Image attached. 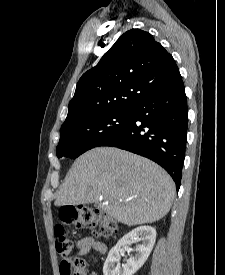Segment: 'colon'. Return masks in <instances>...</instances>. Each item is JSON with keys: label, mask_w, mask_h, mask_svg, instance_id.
<instances>
[{"label": "colon", "mask_w": 225, "mask_h": 275, "mask_svg": "<svg viewBox=\"0 0 225 275\" xmlns=\"http://www.w3.org/2000/svg\"><path fill=\"white\" fill-rule=\"evenodd\" d=\"M60 218L65 223L75 224L78 229L93 228L96 235L109 236L118 232V224L112 217L89 206L64 208L60 212ZM55 247L63 256L68 255L73 248V242L65 235L62 226L55 229ZM60 269L61 275H86L85 263L80 258L62 260Z\"/></svg>", "instance_id": "5ec220e1"}]
</instances>
